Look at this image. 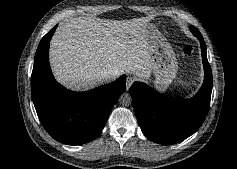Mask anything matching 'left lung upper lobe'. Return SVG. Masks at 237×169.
Masks as SVG:
<instances>
[{
  "instance_id": "5c2ea615",
  "label": "left lung upper lobe",
  "mask_w": 237,
  "mask_h": 169,
  "mask_svg": "<svg viewBox=\"0 0 237 169\" xmlns=\"http://www.w3.org/2000/svg\"><path fill=\"white\" fill-rule=\"evenodd\" d=\"M192 28H194L193 26H191ZM196 31H197V29L196 28H194Z\"/></svg>"
}]
</instances>
